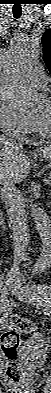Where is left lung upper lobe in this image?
Here are the masks:
<instances>
[{"mask_svg": "<svg viewBox=\"0 0 51 393\" xmlns=\"http://www.w3.org/2000/svg\"><path fill=\"white\" fill-rule=\"evenodd\" d=\"M43 60L46 63L49 71L51 72V29H48L43 33Z\"/></svg>", "mask_w": 51, "mask_h": 393, "instance_id": "1", "label": "left lung upper lobe"}]
</instances>
